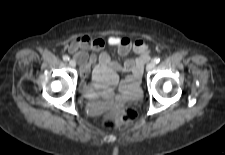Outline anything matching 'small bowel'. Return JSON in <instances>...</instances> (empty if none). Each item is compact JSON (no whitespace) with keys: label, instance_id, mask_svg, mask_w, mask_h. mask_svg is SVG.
Wrapping results in <instances>:
<instances>
[{"label":"small bowel","instance_id":"obj_1","mask_svg":"<svg viewBox=\"0 0 225 155\" xmlns=\"http://www.w3.org/2000/svg\"><path fill=\"white\" fill-rule=\"evenodd\" d=\"M105 46L116 47L121 56L127 55L131 50L136 56L126 60L123 64L112 60L104 51L97 58L95 52L102 51ZM68 50L80 64L82 77H87L91 65L97 62L92 73V84L86 82L81 84L82 90L89 97L96 94L110 96L111 87L119 83L118 72H130L131 75L121 82L123 93L120 97L128 98L138 87L143 66L149 60L148 46L142 40L132 41L127 37L119 36L104 39L81 35L69 43Z\"/></svg>","mask_w":225,"mask_h":155}]
</instances>
